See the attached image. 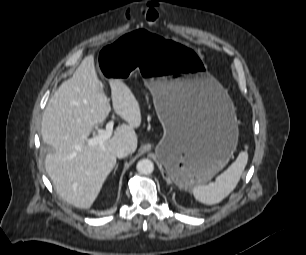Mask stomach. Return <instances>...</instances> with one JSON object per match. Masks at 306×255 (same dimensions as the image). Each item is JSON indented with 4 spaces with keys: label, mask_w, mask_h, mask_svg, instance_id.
<instances>
[{
    "label": "stomach",
    "mask_w": 306,
    "mask_h": 255,
    "mask_svg": "<svg viewBox=\"0 0 306 255\" xmlns=\"http://www.w3.org/2000/svg\"><path fill=\"white\" fill-rule=\"evenodd\" d=\"M97 64L108 78L144 77L164 129L156 155L180 189L207 183L227 164L238 141L235 107L196 51L137 26L106 45Z\"/></svg>",
    "instance_id": "1"
}]
</instances>
